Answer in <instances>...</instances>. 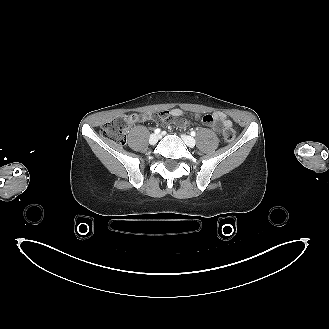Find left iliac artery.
Wrapping results in <instances>:
<instances>
[{
  "instance_id": "obj_1",
  "label": "left iliac artery",
  "mask_w": 329,
  "mask_h": 329,
  "mask_svg": "<svg viewBox=\"0 0 329 329\" xmlns=\"http://www.w3.org/2000/svg\"><path fill=\"white\" fill-rule=\"evenodd\" d=\"M191 136H195L196 135V133H195V131H191Z\"/></svg>"
}]
</instances>
